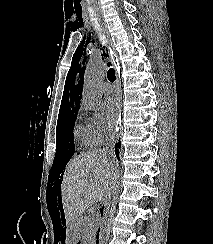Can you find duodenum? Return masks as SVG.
Segmentation results:
<instances>
[{"mask_svg": "<svg viewBox=\"0 0 213 244\" xmlns=\"http://www.w3.org/2000/svg\"><path fill=\"white\" fill-rule=\"evenodd\" d=\"M104 218H105L104 214L101 213L100 219L103 220ZM102 235H103V231L101 228H99L94 235L93 244H102Z\"/></svg>", "mask_w": 213, "mask_h": 244, "instance_id": "duodenum-1", "label": "duodenum"}]
</instances>
